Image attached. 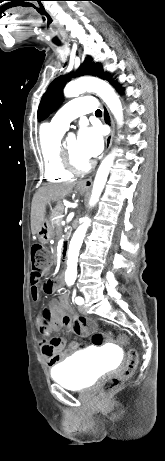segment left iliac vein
<instances>
[{
    "mask_svg": "<svg viewBox=\"0 0 165 461\" xmlns=\"http://www.w3.org/2000/svg\"><path fill=\"white\" fill-rule=\"evenodd\" d=\"M79 311H80L82 314H86V313H87L86 306H85V305L79 306Z\"/></svg>",
    "mask_w": 165,
    "mask_h": 461,
    "instance_id": "left-iliac-vein-1",
    "label": "left iliac vein"
}]
</instances>
